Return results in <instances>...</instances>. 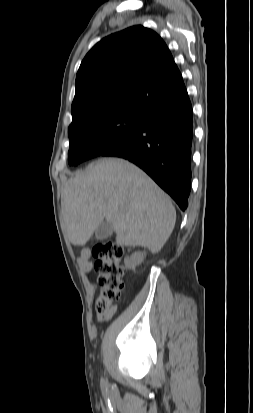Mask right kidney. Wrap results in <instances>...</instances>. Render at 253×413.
<instances>
[{
	"instance_id": "1",
	"label": "right kidney",
	"mask_w": 253,
	"mask_h": 413,
	"mask_svg": "<svg viewBox=\"0 0 253 413\" xmlns=\"http://www.w3.org/2000/svg\"><path fill=\"white\" fill-rule=\"evenodd\" d=\"M145 255V252H135L130 257L125 258V265L128 268L135 270L136 266L140 265L143 262Z\"/></svg>"
}]
</instances>
